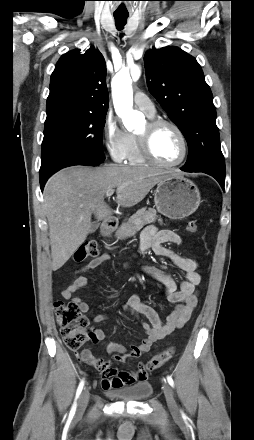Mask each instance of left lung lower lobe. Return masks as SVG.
Returning a JSON list of instances; mask_svg holds the SVG:
<instances>
[{"mask_svg":"<svg viewBox=\"0 0 254 440\" xmlns=\"http://www.w3.org/2000/svg\"><path fill=\"white\" fill-rule=\"evenodd\" d=\"M181 170L186 171V172H203L206 174H209L211 176H213L221 185V187L224 189V184H225V173H222L216 169H210V168H203V169H196V170H186L184 168H181Z\"/></svg>","mask_w":254,"mask_h":440,"instance_id":"obj_1","label":"left lung lower lobe"}]
</instances>
